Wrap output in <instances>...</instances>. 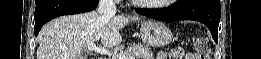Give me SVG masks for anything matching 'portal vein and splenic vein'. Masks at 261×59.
<instances>
[{"mask_svg":"<svg viewBox=\"0 0 261 59\" xmlns=\"http://www.w3.org/2000/svg\"><path fill=\"white\" fill-rule=\"evenodd\" d=\"M87 49L90 51H94L98 54H102V55H108V56L112 55V53L108 49L103 48V47H98V46H96L95 43H89L87 45ZM113 59H128V57H126L125 55H117V56H113ZM129 59H135V58L131 57Z\"/></svg>","mask_w":261,"mask_h":59,"instance_id":"obj_1","label":"portal vein and splenic vein"}]
</instances>
